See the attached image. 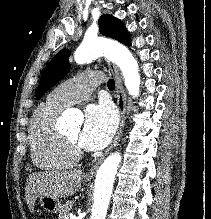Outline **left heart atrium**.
I'll return each instance as SVG.
<instances>
[{"mask_svg": "<svg viewBox=\"0 0 211 219\" xmlns=\"http://www.w3.org/2000/svg\"><path fill=\"white\" fill-rule=\"evenodd\" d=\"M116 127L117 117L111 105L93 104L86 110L79 144L89 151L99 150L110 142Z\"/></svg>", "mask_w": 211, "mask_h": 219, "instance_id": "1", "label": "left heart atrium"}]
</instances>
